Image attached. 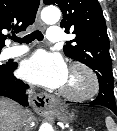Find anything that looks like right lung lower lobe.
Masks as SVG:
<instances>
[{
  "label": "right lung lower lobe",
  "instance_id": "obj_1",
  "mask_svg": "<svg viewBox=\"0 0 117 131\" xmlns=\"http://www.w3.org/2000/svg\"><path fill=\"white\" fill-rule=\"evenodd\" d=\"M17 66V63L0 65V95L11 98L23 106H28V97L25 95L28 86L13 75Z\"/></svg>",
  "mask_w": 117,
  "mask_h": 131
}]
</instances>
